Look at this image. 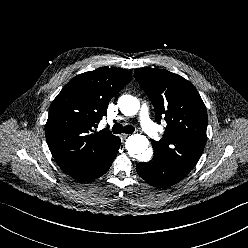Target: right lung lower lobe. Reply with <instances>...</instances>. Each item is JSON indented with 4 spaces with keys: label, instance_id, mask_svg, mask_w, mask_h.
I'll return each instance as SVG.
<instances>
[{
    "label": "right lung lower lobe",
    "instance_id": "1",
    "mask_svg": "<svg viewBox=\"0 0 248 248\" xmlns=\"http://www.w3.org/2000/svg\"><path fill=\"white\" fill-rule=\"evenodd\" d=\"M120 144V138L115 136L102 157H100L96 162L91 164L82 172L72 174L70 176L82 182L92 181L96 178L101 177L110 168L113 160L115 159L118 153Z\"/></svg>",
    "mask_w": 248,
    "mask_h": 248
}]
</instances>
